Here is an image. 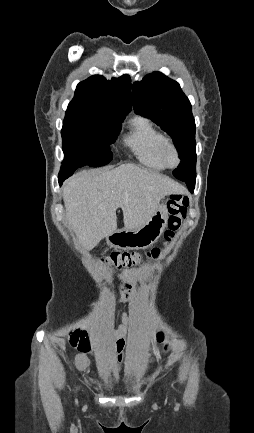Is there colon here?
<instances>
[{
  "instance_id": "5ec220e1",
  "label": "colon",
  "mask_w": 254,
  "mask_h": 433,
  "mask_svg": "<svg viewBox=\"0 0 254 433\" xmlns=\"http://www.w3.org/2000/svg\"><path fill=\"white\" fill-rule=\"evenodd\" d=\"M189 205V200L186 196L182 194H172L167 202V207L169 211L168 217V229L165 232V245L167 246L175 236V232L183 225L186 215L187 208ZM161 257V248L154 247L147 251L145 254L138 252H119L114 251L109 254L103 262L106 264L118 267L131 269L140 266L144 261H156ZM157 342L161 348L166 351L168 349V344L165 339L163 332L158 333ZM71 345L81 352H87L89 350L88 342L82 338V336L75 335L71 339ZM159 352V349L155 351Z\"/></svg>"
}]
</instances>
